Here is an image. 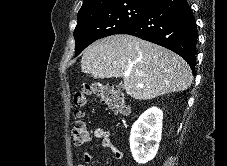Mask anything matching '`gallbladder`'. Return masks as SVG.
I'll return each instance as SVG.
<instances>
[{
    "instance_id": "gallbladder-1",
    "label": "gallbladder",
    "mask_w": 227,
    "mask_h": 166,
    "mask_svg": "<svg viewBox=\"0 0 227 166\" xmlns=\"http://www.w3.org/2000/svg\"><path fill=\"white\" fill-rule=\"evenodd\" d=\"M118 88H119V89H123V85H122V84H119V85H118Z\"/></svg>"
}]
</instances>
